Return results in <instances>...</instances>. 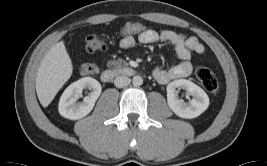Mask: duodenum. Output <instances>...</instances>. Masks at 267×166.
I'll return each mask as SVG.
<instances>
[{"label":"duodenum","mask_w":267,"mask_h":166,"mask_svg":"<svg viewBox=\"0 0 267 166\" xmlns=\"http://www.w3.org/2000/svg\"><path fill=\"white\" fill-rule=\"evenodd\" d=\"M136 70L130 66H118L104 69L101 72V80L105 83L111 82L117 76H135Z\"/></svg>","instance_id":"duodenum-1"}]
</instances>
